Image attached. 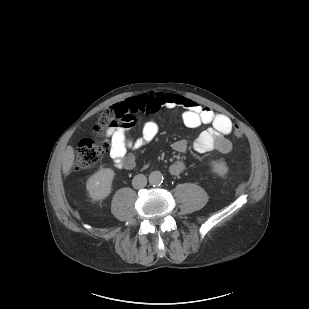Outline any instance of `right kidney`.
<instances>
[{
    "label": "right kidney",
    "instance_id": "1",
    "mask_svg": "<svg viewBox=\"0 0 309 309\" xmlns=\"http://www.w3.org/2000/svg\"><path fill=\"white\" fill-rule=\"evenodd\" d=\"M114 171L103 168L92 175L86 184L89 196L94 200H103L111 193Z\"/></svg>",
    "mask_w": 309,
    "mask_h": 309
}]
</instances>
